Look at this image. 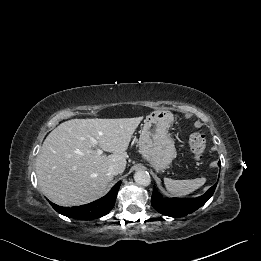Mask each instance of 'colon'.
I'll use <instances>...</instances> for the list:
<instances>
[{"instance_id":"obj_1","label":"colon","mask_w":261,"mask_h":261,"mask_svg":"<svg viewBox=\"0 0 261 261\" xmlns=\"http://www.w3.org/2000/svg\"><path fill=\"white\" fill-rule=\"evenodd\" d=\"M189 145L193 159L200 161L206 149V138L200 132H193L189 136Z\"/></svg>"}]
</instances>
